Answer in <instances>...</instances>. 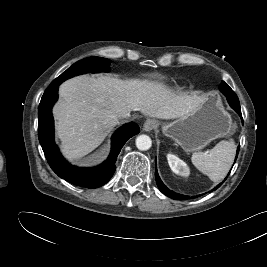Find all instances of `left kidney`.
Instances as JSON below:
<instances>
[{
    "label": "left kidney",
    "mask_w": 267,
    "mask_h": 267,
    "mask_svg": "<svg viewBox=\"0 0 267 267\" xmlns=\"http://www.w3.org/2000/svg\"><path fill=\"white\" fill-rule=\"evenodd\" d=\"M167 160L172 171L180 176L188 177L190 169L187 164L177 156L169 154Z\"/></svg>",
    "instance_id": "left-kidney-1"
}]
</instances>
